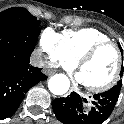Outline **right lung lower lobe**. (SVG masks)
<instances>
[{"label": "right lung lower lobe", "mask_w": 124, "mask_h": 124, "mask_svg": "<svg viewBox=\"0 0 124 124\" xmlns=\"http://www.w3.org/2000/svg\"><path fill=\"white\" fill-rule=\"evenodd\" d=\"M39 28L0 31V120L12 116L27 91L47 78L30 64Z\"/></svg>", "instance_id": "obj_1"}]
</instances>
